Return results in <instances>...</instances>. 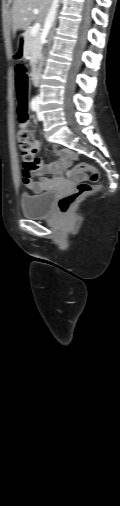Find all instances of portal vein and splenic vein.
<instances>
[{"instance_id": "portal-vein-and-splenic-vein-1", "label": "portal vein and splenic vein", "mask_w": 120, "mask_h": 506, "mask_svg": "<svg viewBox=\"0 0 120 506\" xmlns=\"http://www.w3.org/2000/svg\"><path fill=\"white\" fill-rule=\"evenodd\" d=\"M33 13H34V14H38V13H39V10L35 8V9H33ZM40 28H41L40 23H36V24L32 27V29H31V34H32L33 36H34V35H36V34L40 31Z\"/></svg>"}]
</instances>
